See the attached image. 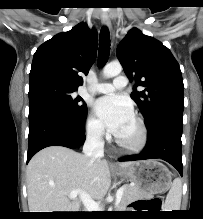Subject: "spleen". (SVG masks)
I'll return each instance as SVG.
<instances>
[{"mask_svg": "<svg viewBox=\"0 0 203 219\" xmlns=\"http://www.w3.org/2000/svg\"><path fill=\"white\" fill-rule=\"evenodd\" d=\"M182 196L181 180L176 178L167 194L165 201V211L180 210Z\"/></svg>", "mask_w": 203, "mask_h": 219, "instance_id": "1", "label": "spleen"}]
</instances>
